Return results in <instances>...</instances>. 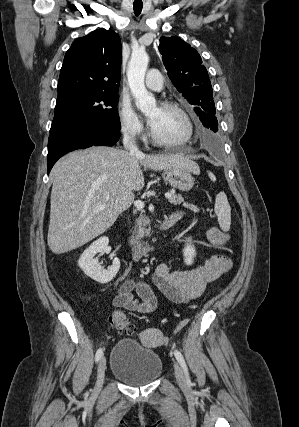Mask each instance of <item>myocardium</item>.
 <instances>
[{
  "instance_id": "1",
  "label": "myocardium",
  "mask_w": 299,
  "mask_h": 427,
  "mask_svg": "<svg viewBox=\"0 0 299 427\" xmlns=\"http://www.w3.org/2000/svg\"><path fill=\"white\" fill-rule=\"evenodd\" d=\"M159 106L163 107V108L173 109L176 112H178L180 114V116L183 118V120L186 124L187 130H186L185 136L182 137L181 139L165 140V139L158 137L154 133L152 127L150 126L149 135H150L152 142H154L156 145L163 146V147H177V146H181V145L188 143L194 134V124H193V121H192L189 113L186 111V109L183 106H181L179 103H177L175 101H170V100H165V101L160 102Z\"/></svg>"
}]
</instances>
